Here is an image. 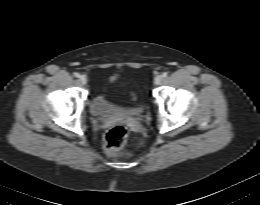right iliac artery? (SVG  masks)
<instances>
[{
	"instance_id": "82829eb1",
	"label": "right iliac artery",
	"mask_w": 260,
	"mask_h": 205,
	"mask_svg": "<svg viewBox=\"0 0 260 205\" xmlns=\"http://www.w3.org/2000/svg\"><path fill=\"white\" fill-rule=\"evenodd\" d=\"M74 76L78 78V77H80V74L77 73V72H75V73H74Z\"/></svg>"
}]
</instances>
